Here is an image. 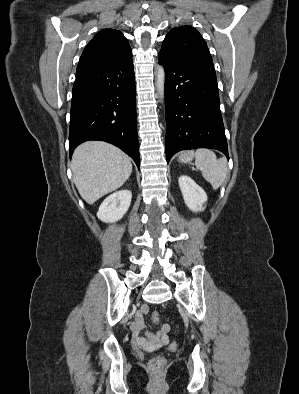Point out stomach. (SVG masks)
<instances>
[{"instance_id":"0dacf381","label":"stomach","mask_w":299,"mask_h":394,"mask_svg":"<svg viewBox=\"0 0 299 394\" xmlns=\"http://www.w3.org/2000/svg\"><path fill=\"white\" fill-rule=\"evenodd\" d=\"M192 157L193 156L191 154H188V155L184 154L179 157V161L182 163H190L192 160Z\"/></svg>"}]
</instances>
